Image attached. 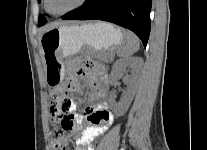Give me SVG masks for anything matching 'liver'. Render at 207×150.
<instances>
[{"instance_id":"liver-1","label":"liver","mask_w":207,"mask_h":150,"mask_svg":"<svg viewBox=\"0 0 207 150\" xmlns=\"http://www.w3.org/2000/svg\"><path fill=\"white\" fill-rule=\"evenodd\" d=\"M66 23H68V22H64V21H56V22H52V23L47 24L46 26H44V27L41 29V31H42V33H44V32H46V31H48V30H50V29H52V28H56V27H58V26H60V25H62V24H66ZM40 39H41V37H40Z\"/></svg>"}]
</instances>
